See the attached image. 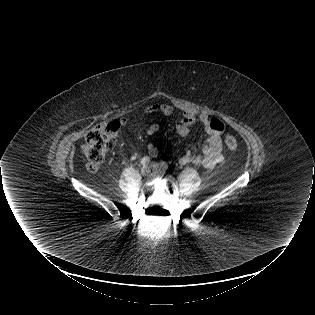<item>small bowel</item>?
Listing matches in <instances>:
<instances>
[{
    "label": "small bowel",
    "mask_w": 315,
    "mask_h": 315,
    "mask_svg": "<svg viewBox=\"0 0 315 315\" xmlns=\"http://www.w3.org/2000/svg\"><path fill=\"white\" fill-rule=\"evenodd\" d=\"M172 112L173 108L165 103L153 104L144 109L145 114L159 113L163 116H169ZM116 121L119 122L121 127L127 124V119L125 118ZM197 124L201 125L208 135L201 153L196 154L195 146H191L178 157V161L181 164H194L206 169H213L223 163L225 159L221 140L224 124L220 119L210 118L206 114L195 115L192 112L184 111L182 119L175 125V131L180 136H186ZM158 130L159 125L157 123H151L146 130V134L153 136ZM147 150L151 157L156 158L159 156V150L153 143L147 145Z\"/></svg>",
    "instance_id": "1"
}]
</instances>
